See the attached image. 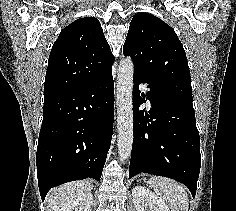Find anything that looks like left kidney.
Returning <instances> with one entry per match:
<instances>
[{
  "instance_id": "left-kidney-1",
  "label": "left kidney",
  "mask_w": 236,
  "mask_h": 211,
  "mask_svg": "<svg viewBox=\"0 0 236 211\" xmlns=\"http://www.w3.org/2000/svg\"><path fill=\"white\" fill-rule=\"evenodd\" d=\"M132 198L136 211H145L147 206L151 207L152 211H170L164 200L144 186H135Z\"/></svg>"
}]
</instances>
